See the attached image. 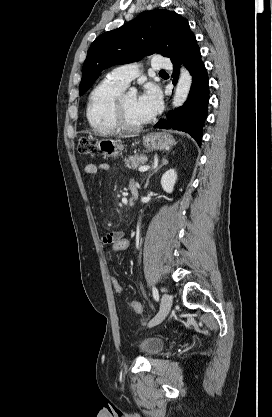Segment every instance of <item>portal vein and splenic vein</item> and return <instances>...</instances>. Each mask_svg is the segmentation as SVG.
<instances>
[{"instance_id":"portal-vein-and-splenic-vein-1","label":"portal vein and splenic vein","mask_w":272,"mask_h":417,"mask_svg":"<svg viewBox=\"0 0 272 417\" xmlns=\"http://www.w3.org/2000/svg\"><path fill=\"white\" fill-rule=\"evenodd\" d=\"M149 169H150V166L149 165H144V166H141L139 168V171L140 172H145V171H148Z\"/></svg>"}]
</instances>
